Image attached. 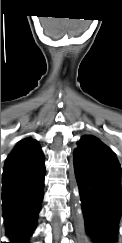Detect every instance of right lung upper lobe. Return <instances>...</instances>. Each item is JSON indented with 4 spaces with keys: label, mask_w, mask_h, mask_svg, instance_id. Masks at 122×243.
<instances>
[{
    "label": "right lung upper lobe",
    "mask_w": 122,
    "mask_h": 243,
    "mask_svg": "<svg viewBox=\"0 0 122 243\" xmlns=\"http://www.w3.org/2000/svg\"><path fill=\"white\" fill-rule=\"evenodd\" d=\"M42 166L44 157L37 142L31 138L23 139L6 159L2 181H8Z\"/></svg>",
    "instance_id": "1"
}]
</instances>
